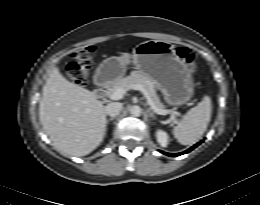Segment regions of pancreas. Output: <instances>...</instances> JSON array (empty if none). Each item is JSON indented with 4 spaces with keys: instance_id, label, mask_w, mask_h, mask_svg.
<instances>
[{
    "instance_id": "obj_1",
    "label": "pancreas",
    "mask_w": 260,
    "mask_h": 205,
    "mask_svg": "<svg viewBox=\"0 0 260 205\" xmlns=\"http://www.w3.org/2000/svg\"><path fill=\"white\" fill-rule=\"evenodd\" d=\"M133 84H140L142 85L148 92L149 96L153 100L154 104L159 108L164 110L165 106L160 101L158 95L156 94V90L151 79L141 73L140 71H132L129 76L124 78L118 79L117 81L113 82L105 91V94L108 97H111L112 93L115 90L122 88L128 91L130 89V85Z\"/></svg>"
}]
</instances>
